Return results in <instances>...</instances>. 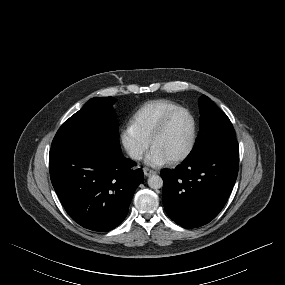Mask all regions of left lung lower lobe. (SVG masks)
Segmentation results:
<instances>
[{"label": "left lung lower lobe", "mask_w": 285, "mask_h": 285, "mask_svg": "<svg viewBox=\"0 0 285 285\" xmlns=\"http://www.w3.org/2000/svg\"><path fill=\"white\" fill-rule=\"evenodd\" d=\"M239 153L222 152L185 161L174 171H162V199L168 216L184 228L213 220L235 184Z\"/></svg>", "instance_id": "obj_1"}]
</instances>
